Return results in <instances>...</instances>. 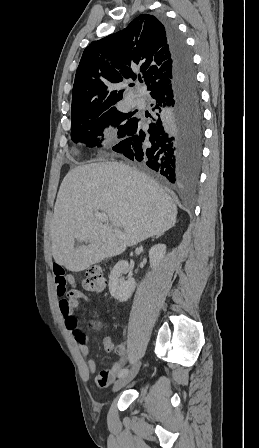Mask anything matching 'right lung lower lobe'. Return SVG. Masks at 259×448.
<instances>
[{"mask_svg": "<svg viewBox=\"0 0 259 448\" xmlns=\"http://www.w3.org/2000/svg\"><path fill=\"white\" fill-rule=\"evenodd\" d=\"M173 66L171 87L151 96V122L137 116L123 140L112 147L131 160L145 163L171 184L193 186L201 165L203 118L201 97L190 50L177 27L164 18Z\"/></svg>", "mask_w": 259, "mask_h": 448, "instance_id": "obj_1", "label": "right lung lower lobe"}]
</instances>
